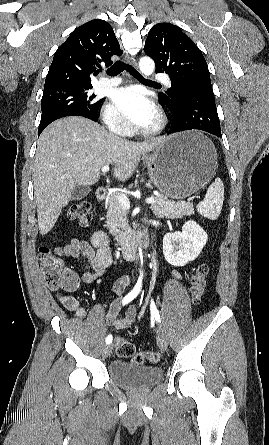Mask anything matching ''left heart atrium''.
Segmentation results:
<instances>
[{
  "label": "left heart atrium",
  "mask_w": 269,
  "mask_h": 445,
  "mask_svg": "<svg viewBox=\"0 0 269 445\" xmlns=\"http://www.w3.org/2000/svg\"><path fill=\"white\" fill-rule=\"evenodd\" d=\"M113 101L120 112L138 128H146L157 116V109L137 87H125L113 93Z\"/></svg>",
  "instance_id": "1"
}]
</instances>
